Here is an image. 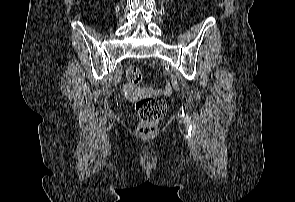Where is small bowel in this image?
<instances>
[{
    "instance_id": "obj_1",
    "label": "small bowel",
    "mask_w": 295,
    "mask_h": 202,
    "mask_svg": "<svg viewBox=\"0 0 295 202\" xmlns=\"http://www.w3.org/2000/svg\"><path fill=\"white\" fill-rule=\"evenodd\" d=\"M127 98H154V93L150 89H142V85H130V81H123Z\"/></svg>"
}]
</instances>
